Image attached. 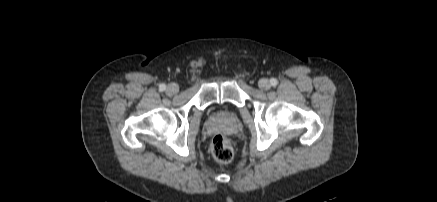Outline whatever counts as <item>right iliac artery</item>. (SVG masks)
<instances>
[{
  "mask_svg": "<svg viewBox=\"0 0 437 202\" xmlns=\"http://www.w3.org/2000/svg\"><path fill=\"white\" fill-rule=\"evenodd\" d=\"M159 89H160L161 91H164V90L166 89V85H165V84H161V85L159 86Z\"/></svg>",
  "mask_w": 437,
  "mask_h": 202,
  "instance_id": "right-iliac-artery-1",
  "label": "right iliac artery"
}]
</instances>
